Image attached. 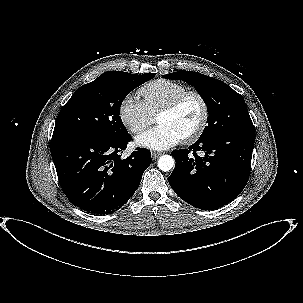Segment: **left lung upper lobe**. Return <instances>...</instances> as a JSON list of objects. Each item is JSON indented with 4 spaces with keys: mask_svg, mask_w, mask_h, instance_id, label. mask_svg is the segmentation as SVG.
Returning a JSON list of instances; mask_svg holds the SVG:
<instances>
[{
    "mask_svg": "<svg viewBox=\"0 0 303 303\" xmlns=\"http://www.w3.org/2000/svg\"><path fill=\"white\" fill-rule=\"evenodd\" d=\"M162 77L194 86L207 104L208 126L199 139L233 130H254L243 97L224 82L192 71H178Z\"/></svg>",
    "mask_w": 303,
    "mask_h": 303,
    "instance_id": "1",
    "label": "left lung upper lobe"
}]
</instances>
